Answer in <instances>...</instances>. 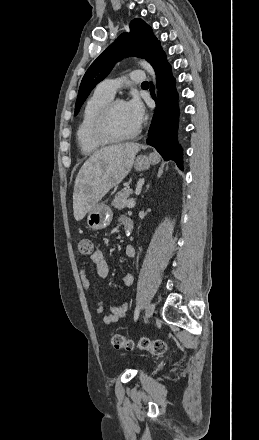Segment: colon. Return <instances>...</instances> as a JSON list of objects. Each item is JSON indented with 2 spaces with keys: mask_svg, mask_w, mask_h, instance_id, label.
<instances>
[{
  "mask_svg": "<svg viewBox=\"0 0 259 440\" xmlns=\"http://www.w3.org/2000/svg\"><path fill=\"white\" fill-rule=\"evenodd\" d=\"M92 251L93 245L91 240L85 235H79L76 240L77 254L89 255L92 253ZM110 341L113 347L116 349L131 350L135 346V343L131 339H128L118 333H112L110 336ZM137 347L142 350H147L155 355H161L166 351V343L163 340H152L146 337H143L138 341Z\"/></svg>",
  "mask_w": 259,
  "mask_h": 440,
  "instance_id": "1",
  "label": "colon"
}]
</instances>
